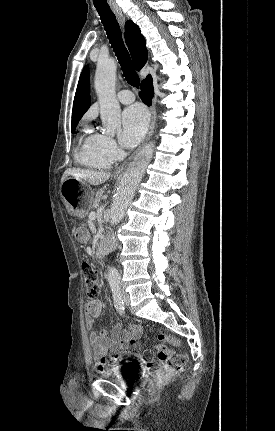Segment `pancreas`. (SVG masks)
<instances>
[{
    "label": "pancreas",
    "instance_id": "1",
    "mask_svg": "<svg viewBox=\"0 0 275 431\" xmlns=\"http://www.w3.org/2000/svg\"><path fill=\"white\" fill-rule=\"evenodd\" d=\"M102 195H103L102 190H99L98 192H96L95 199L93 200L92 208L96 207L99 204L100 200L102 199Z\"/></svg>",
    "mask_w": 275,
    "mask_h": 431
}]
</instances>
